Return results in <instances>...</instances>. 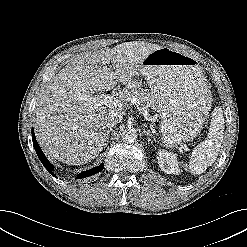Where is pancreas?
<instances>
[{"label":"pancreas","mask_w":247,"mask_h":247,"mask_svg":"<svg viewBox=\"0 0 247 247\" xmlns=\"http://www.w3.org/2000/svg\"><path fill=\"white\" fill-rule=\"evenodd\" d=\"M127 88L128 89L125 91V97H136L139 101L140 108L147 110L154 106L151 94L147 89L143 88V85L140 82L133 81Z\"/></svg>","instance_id":"pancreas-1"}]
</instances>
